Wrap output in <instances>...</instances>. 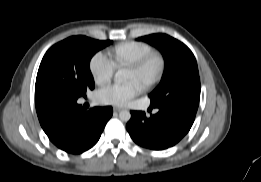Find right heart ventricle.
I'll list each match as a JSON object with an SVG mask.
<instances>
[{"label":"right heart ventricle","mask_w":261,"mask_h":182,"mask_svg":"<svg viewBox=\"0 0 261 182\" xmlns=\"http://www.w3.org/2000/svg\"><path fill=\"white\" fill-rule=\"evenodd\" d=\"M151 52H153L152 47L146 43L126 41L112 49L110 59L115 67H127Z\"/></svg>","instance_id":"1"}]
</instances>
